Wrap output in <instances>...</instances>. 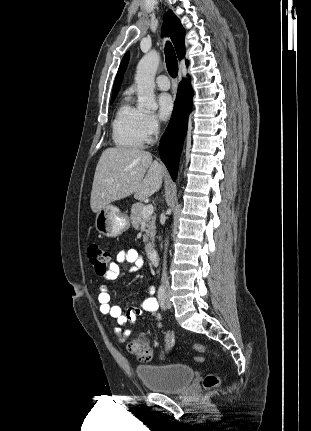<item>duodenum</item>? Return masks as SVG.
<instances>
[{
	"mask_svg": "<svg viewBox=\"0 0 311 431\" xmlns=\"http://www.w3.org/2000/svg\"><path fill=\"white\" fill-rule=\"evenodd\" d=\"M147 258L149 259V261L156 265L158 263V259H159V253L155 248H150L147 250Z\"/></svg>",
	"mask_w": 311,
	"mask_h": 431,
	"instance_id": "duodenum-1",
	"label": "duodenum"
}]
</instances>
